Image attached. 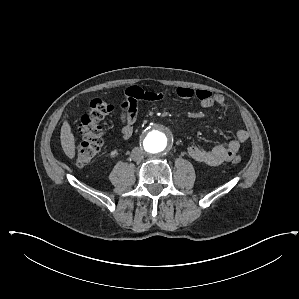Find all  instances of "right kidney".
Returning <instances> with one entry per match:
<instances>
[{"instance_id":"ca27d5eb","label":"right kidney","mask_w":299,"mask_h":299,"mask_svg":"<svg viewBox=\"0 0 299 299\" xmlns=\"http://www.w3.org/2000/svg\"><path fill=\"white\" fill-rule=\"evenodd\" d=\"M118 155V151L117 150H113L111 153H110V157L111 158H114L115 156Z\"/></svg>"}]
</instances>
